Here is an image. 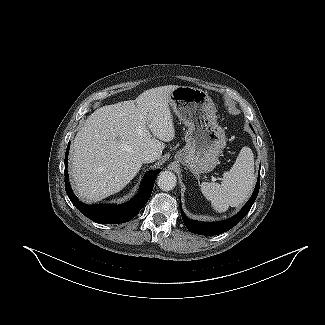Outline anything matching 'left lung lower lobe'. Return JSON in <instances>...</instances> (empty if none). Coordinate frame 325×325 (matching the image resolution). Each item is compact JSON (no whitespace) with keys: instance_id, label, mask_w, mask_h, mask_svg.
I'll use <instances>...</instances> for the list:
<instances>
[{"instance_id":"0a47b994","label":"left lung lower lobe","mask_w":325,"mask_h":325,"mask_svg":"<svg viewBox=\"0 0 325 325\" xmlns=\"http://www.w3.org/2000/svg\"><path fill=\"white\" fill-rule=\"evenodd\" d=\"M261 166V164H260ZM260 187V168H259V175H258V181L255 186V190L251 196V198L248 200V202L245 204V206L239 211L238 214H236L234 217L221 221V222H215V223H200L199 221H194L186 217L184 212L181 209L180 205V210H181V215L183 222L187 229L195 234H200V235H217L224 233L231 228H233L236 224H238L249 212L251 209L254 201L256 200V197L258 195Z\"/></svg>"}]
</instances>
